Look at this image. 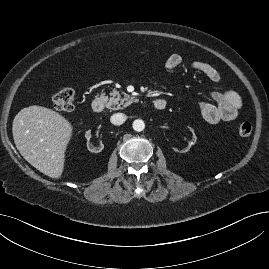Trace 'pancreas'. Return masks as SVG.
Listing matches in <instances>:
<instances>
[{"mask_svg":"<svg viewBox=\"0 0 269 269\" xmlns=\"http://www.w3.org/2000/svg\"><path fill=\"white\" fill-rule=\"evenodd\" d=\"M110 95L111 97L109 98V101L106 103V107L111 110L123 109L136 100L135 97H132L124 92L120 93L115 89L110 93Z\"/></svg>","mask_w":269,"mask_h":269,"instance_id":"obj_1","label":"pancreas"}]
</instances>
